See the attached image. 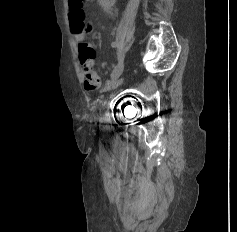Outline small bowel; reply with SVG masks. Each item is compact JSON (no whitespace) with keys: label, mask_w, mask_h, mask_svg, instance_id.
<instances>
[{"label":"small bowel","mask_w":237,"mask_h":232,"mask_svg":"<svg viewBox=\"0 0 237 232\" xmlns=\"http://www.w3.org/2000/svg\"><path fill=\"white\" fill-rule=\"evenodd\" d=\"M75 40L78 44L79 59L84 74V87L88 91H94L100 85L99 78L94 71L95 51L91 44L86 42L85 34H76Z\"/></svg>","instance_id":"c3829d8e"}]
</instances>
